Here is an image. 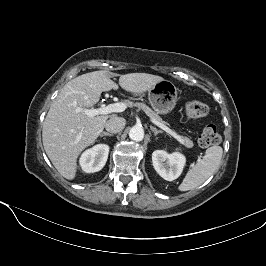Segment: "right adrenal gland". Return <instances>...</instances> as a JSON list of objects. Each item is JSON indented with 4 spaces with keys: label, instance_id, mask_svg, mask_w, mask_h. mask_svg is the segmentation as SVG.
Instances as JSON below:
<instances>
[{
    "label": "right adrenal gland",
    "instance_id": "obj_1",
    "mask_svg": "<svg viewBox=\"0 0 266 266\" xmlns=\"http://www.w3.org/2000/svg\"><path fill=\"white\" fill-rule=\"evenodd\" d=\"M100 136L101 137H103V136H109V137H111V136H113V134L112 133L103 132V133L100 134Z\"/></svg>",
    "mask_w": 266,
    "mask_h": 266
}]
</instances>
